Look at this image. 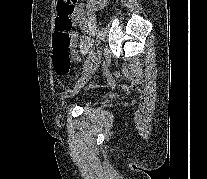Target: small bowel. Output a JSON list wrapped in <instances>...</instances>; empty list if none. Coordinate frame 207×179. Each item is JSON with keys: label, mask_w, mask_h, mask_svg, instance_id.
I'll use <instances>...</instances> for the list:
<instances>
[{"label": "small bowel", "mask_w": 207, "mask_h": 179, "mask_svg": "<svg viewBox=\"0 0 207 179\" xmlns=\"http://www.w3.org/2000/svg\"><path fill=\"white\" fill-rule=\"evenodd\" d=\"M105 2L106 0H87L86 7H87L88 12L91 14L96 12L98 9L104 6ZM75 21L79 24L81 28L85 27L86 20L84 17V11L81 6L77 7V10L75 13ZM72 37H73V42L71 45L72 53L74 55L75 60L79 61L80 58L76 55V49L78 47V34L73 33ZM86 41H87V38H86Z\"/></svg>", "instance_id": "obj_1"}]
</instances>
